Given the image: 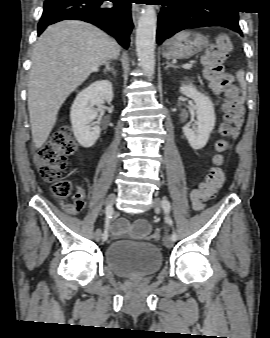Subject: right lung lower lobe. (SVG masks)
Here are the masks:
<instances>
[{"label":"right lung lower lobe","mask_w":270,"mask_h":338,"mask_svg":"<svg viewBox=\"0 0 270 338\" xmlns=\"http://www.w3.org/2000/svg\"><path fill=\"white\" fill-rule=\"evenodd\" d=\"M108 1L114 6L108 7ZM130 4L131 0H45L38 35L50 24L78 19L103 29L127 49L133 28Z\"/></svg>","instance_id":"1"}]
</instances>
